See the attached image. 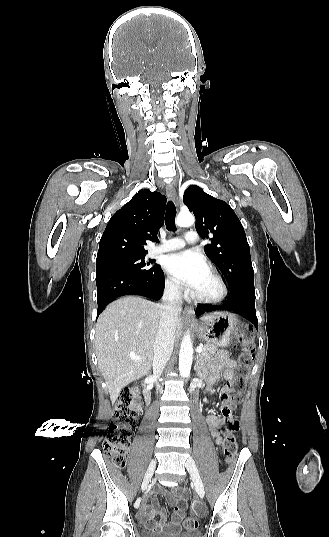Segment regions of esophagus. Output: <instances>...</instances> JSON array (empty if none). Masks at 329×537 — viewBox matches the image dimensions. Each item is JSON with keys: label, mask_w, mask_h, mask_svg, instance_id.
Returning a JSON list of instances; mask_svg holds the SVG:
<instances>
[{"label": "esophagus", "mask_w": 329, "mask_h": 537, "mask_svg": "<svg viewBox=\"0 0 329 537\" xmlns=\"http://www.w3.org/2000/svg\"><path fill=\"white\" fill-rule=\"evenodd\" d=\"M166 193H167V196L169 197V199H171L172 201H174L175 203L178 204L177 193H176V190H175V188H174V186L172 184H167ZM184 314L193 316L194 315V309L191 308V307H186L184 309Z\"/></svg>", "instance_id": "obj_1"}]
</instances>
